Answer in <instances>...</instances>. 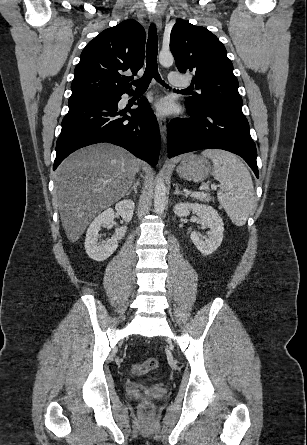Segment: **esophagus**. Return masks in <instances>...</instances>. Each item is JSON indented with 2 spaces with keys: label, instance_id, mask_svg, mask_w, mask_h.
Segmentation results:
<instances>
[{
  "label": "esophagus",
  "instance_id": "1",
  "mask_svg": "<svg viewBox=\"0 0 307 445\" xmlns=\"http://www.w3.org/2000/svg\"><path fill=\"white\" fill-rule=\"evenodd\" d=\"M152 20L157 27L158 30H161L162 27V20L159 12H155L153 14ZM157 121L159 123V129L161 133V137L164 142H166V133H167V124L166 119L162 117L161 115H157Z\"/></svg>",
  "mask_w": 307,
  "mask_h": 445
}]
</instances>
